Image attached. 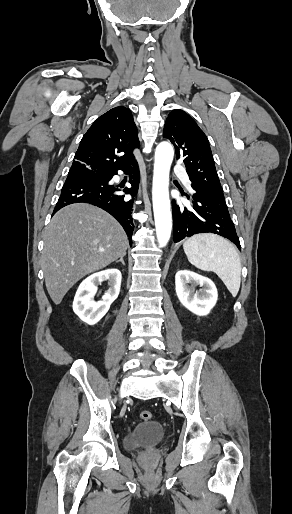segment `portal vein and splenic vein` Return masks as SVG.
<instances>
[{
    "label": "portal vein and splenic vein",
    "mask_w": 292,
    "mask_h": 514,
    "mask_svg": "<svg viewBox=\"0 0 292 514\" xmlns=\"http://www.w3.org/2000/svg\"><path fill=\"white\" fill-rule=\"evenodd\" d=\"M99 252H104V250H99Z\"/></svg>",
    "instance_id": "18ae733b"
}]
</instances>
